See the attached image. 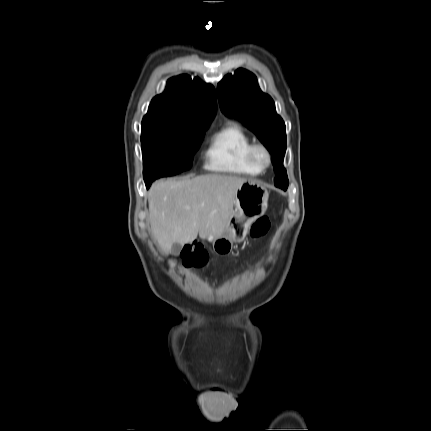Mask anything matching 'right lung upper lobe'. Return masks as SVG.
Wrapping results in <instances>:
<instances>
[{
  "label": "right lung upper lobe",
  "instance_id": "1",
  "mask_svg": "<svg viewBox=\"0 0 431 431\" xmlns=\"http://www.w3.org/2000/svg\"><path fill=\"white\" fill-rule=\"evenodd\" d=\"M216 114L213 86L188 75L173 77L166 90L154 97L143 121L166 122L189 127L209 126Z\"/></svg>",
  "mask_w": 431,
  "mask_h": 431
}]
</instances>
